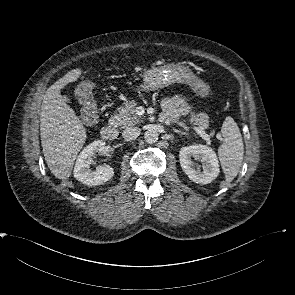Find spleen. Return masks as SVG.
I'll list each match as a JSON object with an SVG mask.
<instances>
[{"instance_id":"spleen-1","label":"spleen","mask_w":295,"mask_h":295,"mask_svg":"<svg viewBox=\"0 0 295 295\" xmlns=\"http://www.w3.org/2000/svg\"><path fill=\"white\" fill-rule=\"evenodd\" d=\"M222 144L218 149L219 160L226 182H231L238 174L244 155L242 136L232 117H226L221 127Z\"/></svg>"}]
</instances>
